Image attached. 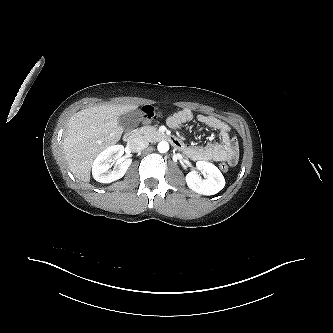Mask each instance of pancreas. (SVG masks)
Returning a JSON list of instances; mask_svg holds the SVG:
<instances>
[{
  "instance_id": "1",
  "label": "pancreas",
  "mask_w": 333,
  "mask_h": 333,
  "mask_svg": "<svg viewBox=\"0 0 333 333\" xmlns=\"http://www.w3.org/2000/svg\"><path fill=\"white\" fill-rule=\"evenodd\" d=\"M136 134L143 137L146 140H153L156 135L159 134L157 128L154 126H144L136 130Z\"/></svg>"
}]
</instances>
